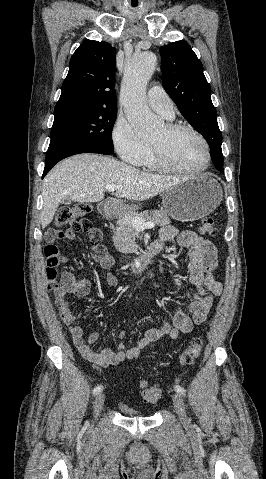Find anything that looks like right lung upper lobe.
Here are the masks:
<instances>
[{
  "mask_svg": "<svg viewBox=\"0 0 266 479\" xmlns=\"http://www.w3.org/2000/svg\"><path fill=\"white\" fill-rule=\"evenodd\" d=\"M116 50L85 40L74 52L54 114L71 110H117L114 90Z\"/></svg>",
  "mask_w": 266,
  "mask_h": 479,
  "instance_id": "right-lung-upper-lobe-1",
  "label": "right lung upper lobe"
}]
</instances>
